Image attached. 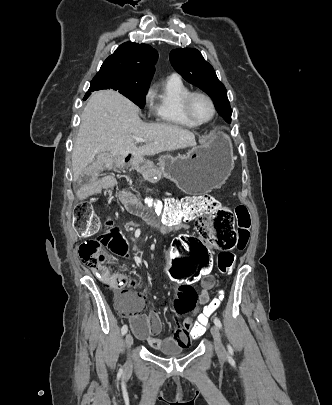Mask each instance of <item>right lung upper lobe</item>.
<instances>
[{
	"label": "right lung upper lobe",
	"mask_w": 332,
	"mask_h": 405,
	"mask_svg": "<svg viewBox=\"0 0 332 405\" xmlns=\"http://www.w3.org/2000/svg\"><path fill=\"white\" fill-rule=\"evenodd\" d=\"M157 58V51L150 45L125 42L104 61L98 73L112 72L150 81Z\"/></svg>",
	"instance_id": "cb5924a9"
}]
</instances>
